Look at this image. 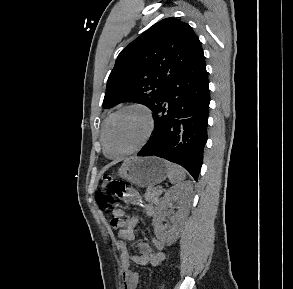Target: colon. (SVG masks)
Wrapping results in <instances>:
<instances>
[{
  "label": "colon",
  "mask_w": 293,
  "mask_h": 289,
  "mask_svg": "<svg viewBox=\"0 0 293 289\" xmlns=\"http://www.w3.org/2000/svg\"><path fill=\"white\" fill-rule=\"evenodd\" d=\"M103 184L104 189L97 194L96 199L101 209L110 212L115 209L119 197L127 191V187L122 182L117 181L110 176H106L103 179ZM123 222L124 221L120 219H112L111 224L114 228H118Z\"/></svg>",
  "instance_id": "5ec220e1"
}]
</instances>
